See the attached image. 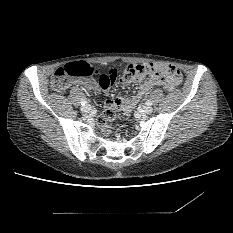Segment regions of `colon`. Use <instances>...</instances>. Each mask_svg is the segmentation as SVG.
<instances>
[{"label":"colon","instance_id":"5ec220e1","mask_svg":"<svg viewBox=\"0 0 233 233\" xmlns=\"http://www.w3.org/2000/svg\"><path fill=\"white\" fill-rule=\"evenodd\" d=\"M166 72H174L176 68L169 64H129L123 71L124 80L132 78H150L155 76L158 70ZM99 73V69L92 63L87 61H78L62 67H59L51 78V89L56 92L66 90L74 78H87ZM129 111L125 109L124 113ZM116 114L113 110L107 109L101 113L97 119L100 131L104 135L111 132V121L114 120Z\"/></svg>","mask_w":233,"mask_h":233}]
</instances>
